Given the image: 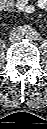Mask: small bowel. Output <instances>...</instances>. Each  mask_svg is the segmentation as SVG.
Here are the masks:
<instances>
[{"label": "small bowel", "instance_id": "c3829d8e", "mask_svg": "<svg viewBox=\"0 0 47 129\" xmlns=\"http://www.w3.org/2000/svg\"><path fill=\"white\" fill-rule=\"evenodd\" d=\"M32 0H1V8L5 11L16 9L19 12L33 13L36 7L45 8L47 0H36V5L31 3Z\"/></svg>", "mask_w": 47, "mask_h": 129}]
</instances>
